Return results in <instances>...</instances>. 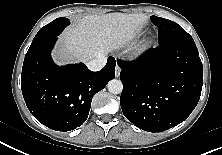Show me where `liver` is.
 I'll return each instance as SVG.
<instances>
[{
  "label": "liver",
  "mask_w": 222,
  "mask_h": 155,
  "mask_svg": "<svg viewBox=\"0 0 222 155\" xmlns=\"http://www.w3.org/2000/svg\"><path fill=\"white\" fill-rule=\"evenodd\" d=\"M147 21L144 14L109 13L79 19L61 36L53 54L57 63L87 62L122 47L134 38Z\"/></svg>",
  "instance_id": "6515ba94"
}]
</instances>
